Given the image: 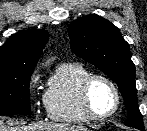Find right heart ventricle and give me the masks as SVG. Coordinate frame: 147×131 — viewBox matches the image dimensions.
I'll use <instances>...</instances> for the list:
<instances>
[{
    "label": "right heart ventricle",
    "instance_id": "1",
    "mask_svg": "<svg viewBox=\"0 0 147 131\" xmlns=\"http://www.w3.org/2000/svg\"><path fill=\"white\" fill-rule=\"evenodd\" d=\"M90 75V70L79 63L58 67L45 94L46 110L51 120L69 124L89 121L81 106L80 89Z\"/></svg>",
    "mask_w": 147,
    "mask_h": 131
}]
</instances>
